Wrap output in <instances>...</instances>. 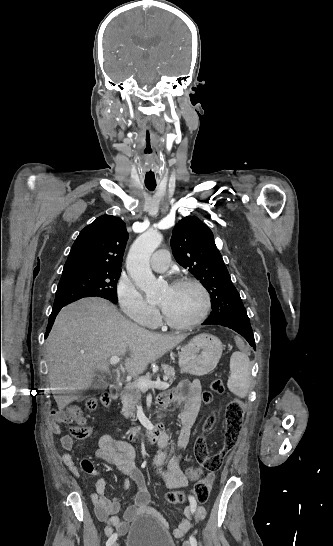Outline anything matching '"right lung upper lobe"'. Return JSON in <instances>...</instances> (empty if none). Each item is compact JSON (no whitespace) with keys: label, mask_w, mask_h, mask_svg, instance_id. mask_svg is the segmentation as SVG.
Instances as JSON below:
<instances>
[{"label":"right lung upper lobe","mask_w":333,"mask_h":546,"mask_svg":"<svg viewBox=\"0 0 333 546\" xmlns=\"http://www.w3.org/2000/svg\"><path fill=\"white\" fill-rule=\"evenodd\" d=\"M127 240L126 225L119 217H98L78 235L62 275L121 270Z\"/></svg>","instance_id":"right-lung-upper-lobe-1"}]
</instances>
